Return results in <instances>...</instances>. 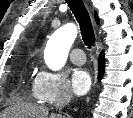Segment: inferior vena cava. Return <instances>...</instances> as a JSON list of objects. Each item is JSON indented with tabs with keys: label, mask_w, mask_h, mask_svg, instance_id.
Listing matches in <instances>:
<instances>
[{
	"label": "inferior vena cava",
	"mask_w": 133,
	"mask_h": 118,
	"mask_svg": "<svg viewBox=\"0 0 133 118\" xmlns=\"http://www.w3.org/2000/svg\"><path fill=\"white\" fill-rule=\"evenodd\" d=\"M71 96L72 93L70 90L62 88L57 95L54 107L58 110H61L64 106H66L70 102ZM56 116L58 117V115Z\"/></svg>",
	"instance_id": "inferior-vena-cava-1"
}]
</instances>
